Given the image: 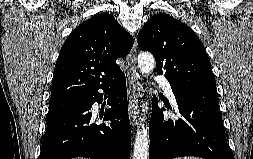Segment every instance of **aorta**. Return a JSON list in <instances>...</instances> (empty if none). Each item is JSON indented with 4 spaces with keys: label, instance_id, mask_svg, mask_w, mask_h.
<instances>
[{
    "label": "aorta",
    "instance_id": "obj_1",
    "mask_svg": "<svg viewBox=\"0 0 253 159\" xmlns=\"http://www.w3.org/2000/svg\"><path fill=\"white\" fill-rule=\"evenodd\" d=\"M138 67L142 73H151L155 67V59L153 55L146 52L140 53L138 55ZM145 120L146 117L141 118V124L137 130L133 149V159H149V135Z\"/></svg>",
    "mask_w": 253,
    "mask_h": 159
}]
</instances>
